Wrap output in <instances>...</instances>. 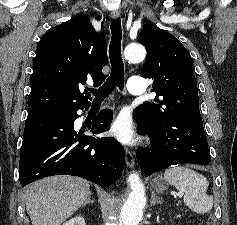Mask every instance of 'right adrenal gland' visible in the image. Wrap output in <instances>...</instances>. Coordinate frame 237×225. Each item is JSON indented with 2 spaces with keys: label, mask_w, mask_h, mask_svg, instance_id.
<instances>
[{
  "label": "right adrenal gland",
  "mask_w": 237,
  "mask_h": 225,
  "mask_svg": "<svg viewBox=\"0 0 237 225\" xmlns=\"http://www.w3.org/2000/svg\"><path fill=\"white\" fill-rule=\"evenodd\" d=\"M91 196H92V193L90 192L87 200L84 202L82 207L86 206L87 204L94 203V200H91Z\"/></svg>",
  "instance_id": "1"
}]
</instances>
